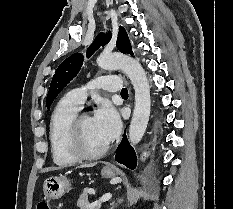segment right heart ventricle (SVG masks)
<instances>
[{"label":"right heart ventricle","mask_w":233,"mask_h":209,"mask_svg":"<svg viewBox=\"0 0 233 209\" xmlns=\"http://www.w3.org/2000/svg\"><path fill=\"white\" fill-rule=\"evenodd\" d=\"M79 108L68 101L67 97L56 105L49 125V143L53 162L67 167L78 162L67 146V130L70 122L78 114Z\"/></svg>","instance_id":"1"}]
</instances>
